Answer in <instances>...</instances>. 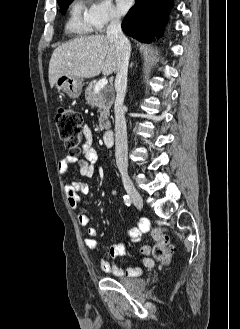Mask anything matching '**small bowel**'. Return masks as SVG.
<instances>
[{
  "mask_svg": "<svg viewBox=\"0 0 240 329\" xmlns=\"http://www.w3.org/2000/svg\"><path fill=\"white\" fill-rule=\"evenodd\" d=\"M84 142L81 146L83 154L82 159H78L75 156H66L59 161L58 171L61 175L66 176L71 165L79 164V173L81 176L91 178L94 176L95 167L98 163V154L95 149L91 147L92 144V132L89 127H85L83 130ZM90 187L87 183L81 181H72L65 185V194L69 206L72 209H77L81 206L80 194H88ZM77 222L80 226L87 227L90 222V218L85 213L77 215ZM148 228L147 221L143 220L138 225L133 226L129 230V240L126 243L115 244L109 248L110 260L105 258L100 259V265L103 271L111 273L115 276H139L143 270H150L154 266V261L150 257L151 248L149 245H142L140 252L142 254L141 266H130L126 269L117 265L113 260L122 257L126 254L127 246L129 244L138 243L141 239L143 232ZM88 238L85 240V246L89 251L94 250L97 247V230L94 227H87Z\"/></svg>",
  "mask_w": 240,
  "mask_h": 329,
  "instance_id": "obj_1",
  "label": "small bowel"
}]
</instances>
